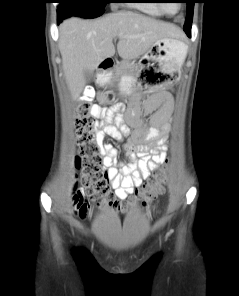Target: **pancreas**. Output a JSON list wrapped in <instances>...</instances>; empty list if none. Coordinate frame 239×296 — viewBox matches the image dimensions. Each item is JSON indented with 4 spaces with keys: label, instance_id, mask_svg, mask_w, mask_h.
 Segmentation results:
<instances>
[{
    "label": "pancreas",
    "instance_id": "cf45deb5",
    "mask_svg": "<svg viewBox=\"0 0 239 296\" xmlns=\"http://www.w3.org/2000/svg\"><path fill=\"white\" fill-rule=\"evenodd\" d=\"M135 65L130 63L129 61H122L118 63L114 68V78L119 79V77L123 74L134 73ZM99 96L105 99L103 93H100Z\"/></svg>",
    "mask_w": 239,
    "mask_h": 296
}]
</instances>
